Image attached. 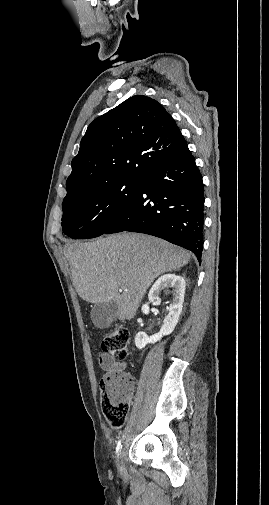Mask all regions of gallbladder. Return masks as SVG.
<instances>
[{
    "label": "gallbladder",
    "instance_id": "bac80fb5",
    "mask_svg": "<svg viewBox=\"0 0 269 505\" xmlns=\"http://www.w3.org/2000/svg\"><path fill=\"white\" fill-rule=\"evenodd\" d=\"M90 316L97 328H108L117 319L118 305L113 301L95 304L92 307Z\"/></svg>",
    "mask_w": 269,
    "mask_h": 505
}]
</instances>
